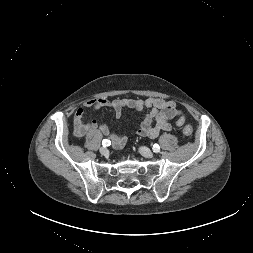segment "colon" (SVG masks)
<instances>
[{
    "label": "colon",
    "mask_w": 253,
    "mask_h": 253,
    "mask_svg": "<svg viewBox=\"0 0 253 253\" xmlns=\"http://www.w3.org/2000/svg\"><path fill=\"white\" fill-rule=\"evenodd\" d=\"M183 134L187 137H190L192 136L193 134V128L191 125L189 124H186L184 127H183Z\"/></svg>",
    "instance_id": "obj_1"
}]
</instances>
